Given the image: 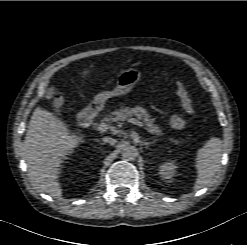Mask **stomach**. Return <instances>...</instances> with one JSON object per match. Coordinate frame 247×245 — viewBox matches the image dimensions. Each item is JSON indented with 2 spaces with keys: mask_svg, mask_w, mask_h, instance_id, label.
Segmentation results:
<instances>
[{
  "mask_svg": "<svg viewBox=\"0 0 247 245\" xmlns=\"http://www.w3.org/2000/svg\"><path fill=\"white\" fill-rule=\"evenodd\" d=\"M141 76L142 72L135 68L120 71L117 73L116 86L114 89L98 93L90 103V108L101 110L105 107L108 99L126 95L139 82Z\"/></svg>",
  "mask_w": 247,
  "mask_h": 245,
  "instance_id": "stomach-1",
  "label": "stomach"
}]
</instances>
